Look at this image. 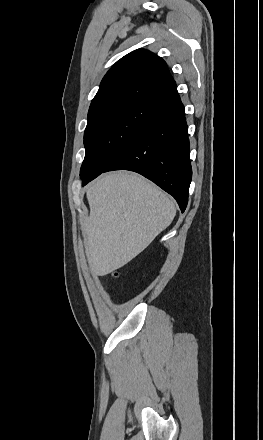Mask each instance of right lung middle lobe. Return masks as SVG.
I'll return each mask as SVG.
<instances>
[{"label": "right lung middle lobe", "instance_id": "dd1d6c3e", "mask_svg": "<svg viewBox=\"0 0 263 440\" xmlns=\"http://www.w3.org/2000/svg\"><path fill=\"white\" fill-rule=\"evenodd\" d=\"M155 108L147 104L115 107L89 118L84 133L86 154L80 170L82 181L103 173L115 154L144 127Z\"/></svg>", "mask_w": 263, "mask_h": 440}]
</instances>
